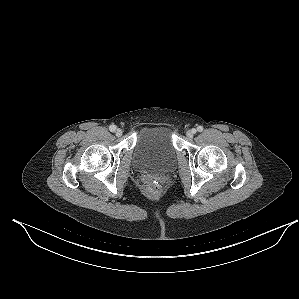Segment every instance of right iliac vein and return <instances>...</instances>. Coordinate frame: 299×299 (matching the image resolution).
Wrapping results in <instances>:
<instances>
[{"mask_svg": "<svg viewBox=\"0 0 299 299\" xmlns=\"http://www.w3.org/2000/svg\"><path fill=\"white\" fill-rule=\"evenodd\" d=\"M123 131L122 129L118 128L116 131H115V134L117 137H120L122 135Z\"/></svg>", "mask_w": 299, "mask_h": 299, "instance_id": "1", "label": "right iliac vein"}]
</instances>
